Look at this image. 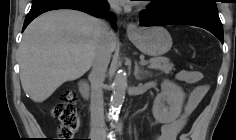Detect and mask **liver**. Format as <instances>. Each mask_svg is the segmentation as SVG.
Returning <instances> with one entry per match:
<instances>
[{"instance_id":"6515ba94","label":"liver","mask_w":236,"mask_h":140,"mask_svg":"<svg viewBox=\"0 0 236 140\" xmlns=\"http://www.w3.org/2000/svg\"><path fill=\"white\" fill-rule=\"evenodd\" d=\"M102 29L101 20L71 9L32 21L19 46L21 85L30 99L41 103L63 83L83 76L93 64ZM117 44L114 34L113 51Z\"/></svg>"}]
</instances>
